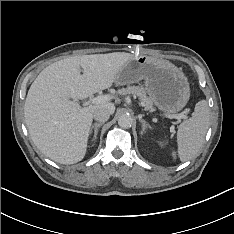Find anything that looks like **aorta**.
Wrapping results in <instances>:
<instances>
[{"label": "aorta", "instance_id": "aorta-1", "mask_svg": "<svg viewBox=\"0 0 234 234\" xmlns=\"http://www.w3.org/2000/svg\"><path fill=\"white\" fill-rule=\"evenodd\" d=\"M118 124L122 128H130L133 124V119L129 114H122L118 118Z\"/></svg>", "mask_w": 234, "mask_h": 234}]
</instances>
